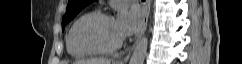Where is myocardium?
Returning <instances> with one entry per match:
<instances>
[{"label": "myocardium", "instance_id": "1", "mask_svg": "<svg viewBox=\"0 0 242 64\" xmlns=\"http://www.w3.org/2000/svg\"><path fill=\"white\" fill-rule=\"evenodd\" d=\"M104 19H113V17L110 14L104 12H92L78 22L73 34L74 42L78 48L89 54L106 55L117 51L122 46V40L118 41L116 44L110 47H99L83 39L81 33L86 26L93 22Z\"/></svg>", "mask_w": 242, "mask_h": 64}]
</instances>
